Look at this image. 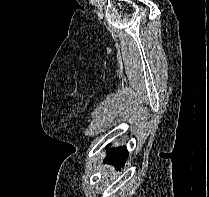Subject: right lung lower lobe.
<instances>
[{
    "label": "right lung lower lobe",
    "instance_id": "98d812e1",
    "mask_svg": "<svg viewBox=\"0 0 209 197\" xmlns=\"http://www.w3.org/2000/svg\"><path fill=\"white\" fill-rule=\"evenodd\" d=\"M128 157V151L126 146H120L108 152L105 159V163L114 165L117 169H120L124 165Z\"/></svg>",
    "mask_w": 209,
    "mask_h": 197
}]
</instances>
